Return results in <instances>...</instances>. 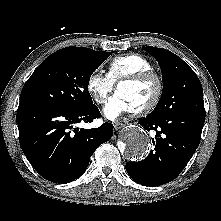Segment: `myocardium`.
<instances>
[{
    "label": "myocardium",
    "instance_id": "obj_1",
    "mask_svg": "<svg viewBox=\"0 0 221 221\" xmlns=\"http://www.w3.org/2000/svg\"><path fill=\"white\" fill-rule=\"evenodd\" d=\"M147 81H153L156 85V91L152 100L144 105L143 107L133 110L132 113L135 115H145L153 111L159 104L164 90V85L161 77L154 71H143L131 76L121 79L116 86V89L119 88L122 84H137Z\"/></svg>",
    "mask_w": 221,
    "mask_h": 221
}]
</instances>
